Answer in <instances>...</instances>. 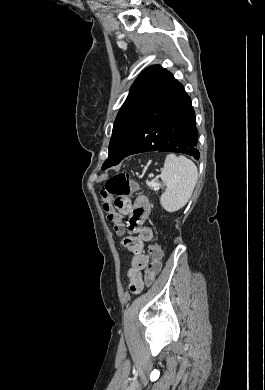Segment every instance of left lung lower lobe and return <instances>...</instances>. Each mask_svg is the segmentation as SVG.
<instances>
[{
    "instance_id": "obj_1",
    "label": "left lung lower lobe",
    "mask_w": 265,
    "mask_h": 390,
    "mask_svg": "<svg viewBox=\"0 0 265 390\" xmlns=\"http://www.w3.org/2000/svg\"><path fill=\"white\" fill-rule=\"evenodd\" d=\"M197 143L191 99L170 74L143 110L135 137L123 158L136 153L164 151L199 159Z\"/></svg>"
}]
</instances>
